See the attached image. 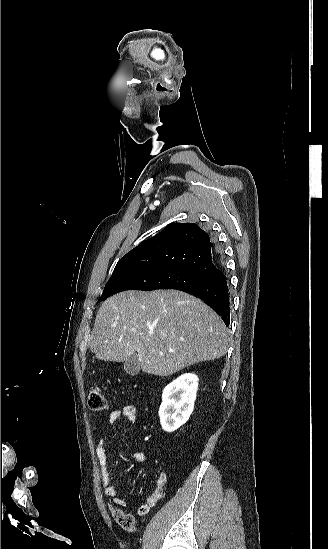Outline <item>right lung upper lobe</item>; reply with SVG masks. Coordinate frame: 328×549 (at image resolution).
Here are the masks:
<instances>
[{
	"mask_svg": "<svg viewBox=\"0 0 328 549\" xmlns=\"http://www.w3.org/2000/svg\"><path fill=\"white\" fill-rule=\"evenodd\" d=\"M157 266L198 273L206 279L221 273V260L208 233L194 223H171L123 256L113 272L127 267Z\"/></svg>",
	"mask_w": 328,
	"mask_h": 549,
	"instance_id": "right-lung-upper-lobe-1",
	"label": "right lung upper lobe"
}]
</instances>
